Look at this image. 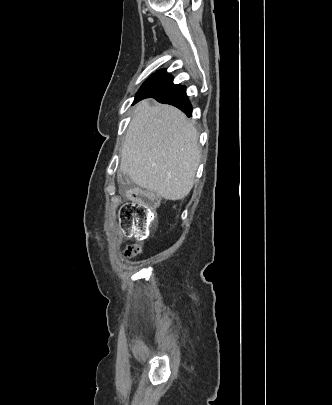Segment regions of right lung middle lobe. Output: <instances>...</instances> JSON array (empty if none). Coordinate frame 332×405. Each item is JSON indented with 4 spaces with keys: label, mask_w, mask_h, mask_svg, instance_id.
Returning a JSON list of instances; mask_svg holds the SVG:
<instances>
[{
    "label": "right lung middle lobe",
    "mask_w": 332,
    "mask_h": 405,
    "mask_svg": "<svg viewBox=\"0 0 332 405\" xmlns=\"http://www.w3.org/2000/svg\"><path fill=\"white\" fill-rule=\"evenodd\" d=\"M176 86L171 76L154 73L143 83L138 93L164 92Z\"/></svg>",
    "instance_id": "obj_1"
}]
</instances>
